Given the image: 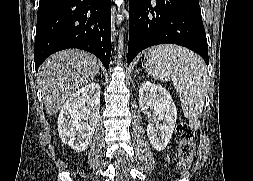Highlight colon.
I'll return each instance as SVG.
<instances>
[{"label": "colon", "mask_w": 253, "mask_h": 181, "mask_svg": "<svg viewBox=\"0 0 253 181\" xmlns=\"http://www.w3.org/2000/svg\"><path fill=\"white\" fill-rule=\"evenodd\" d=\"M176 136L179 140L180 163L185 167L194 155L193 130L187 123H179L176 127Z\"/></svg>", "instance_id": "colon-1"}]
</instances>
